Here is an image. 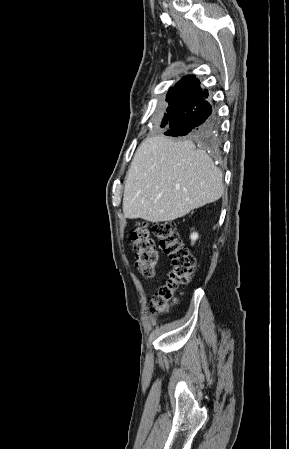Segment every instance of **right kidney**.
<instances>
[{
	"label": "right kidney",
	"instance_id": "ca27d5eb",
	"mask_svg": "<svg viewBox=\"0 0 289 449\" xmlns=\"http://www.w3.org/2000/svg\"><path fill=\"white\" fill-rule=\"evenodd\" d=\"M198 233L197 232H193L190 236L192 243H194L197 239H198Z\"/></svg>",
	"mask_w": 289,
	"mask_h": 449
}]
</instances>
